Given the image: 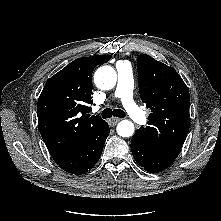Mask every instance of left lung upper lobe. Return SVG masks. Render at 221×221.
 Masks as SVG:
<instances>
[{
  "mask_svg": "<svg viewBox=\"0 0 221 221\" xmlns=\"http://www.w3.org/2000/svg\"><path fill=\"white\" fill-rule=\"evenodd\" d=\"M139 91L150 108L148 126L136 131L164 152L178 154L190 127V96L187 86L171 67L149 55L137 60Z\"/></svg>",
  "mask_w": 221,
  "mask_h": 221,
  "instance_id": "1",
  "label": "left lung upper lobe"
}]
</instances>
